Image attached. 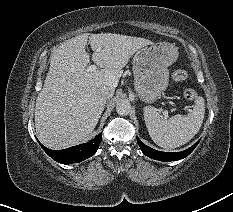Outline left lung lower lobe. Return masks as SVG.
<instances>
[{
  "mask_svg": "<svg viewBox=\"0 0 233 212\" xmlns=\"http://www.w3.org/2000/svg\"><path fill=\"white\" fill-rule=\"evenodd\" d=\"M137 142H138L142 152L146 156H148L152 159H155V160H160V161H177V160L183 159L186 156H188L199 143V141L196 142L193 146H191L187 150H184L181 152L169 153V152L157 151V150H154V149L144 145L138 137H137Z\"/></svg>",
  "mask_w": 233,
  "mask_h": 212,
  "instance_id": "0a47b994",
  "label": "left lung lower lobe"
}]
</instances>
